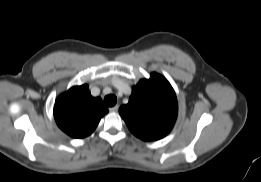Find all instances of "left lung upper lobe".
<instances>
[{
    "label": "left lung upper lobe",
    "mask_w": 261,
    "mask_h": 182,
    "mask_svg": "<svg viewBox=\"0 0 261 182\" xmlns=\"http://www.w3.org/2000/svg\"><path fill=\"white\" fill-rule=\"evenodd\" d=\"M175 92L165 77L152 73L133 87L126 105L119 109L129 130L144 141L165 137L173 128L177 117Z\"/></svg>",
    "instance_id": "5c2ea615"
}]
</instances>
